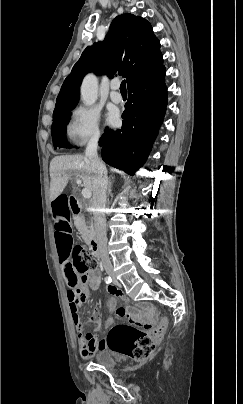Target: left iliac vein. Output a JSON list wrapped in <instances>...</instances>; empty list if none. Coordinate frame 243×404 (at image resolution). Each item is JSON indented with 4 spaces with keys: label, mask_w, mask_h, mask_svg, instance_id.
I'll return each mask as SVG.
<instances>
[{
    "label": "left iliac vein",
    "mask_w": 243,
    "mask_h": 404,
    "mask_svg": "<svg viewBox=\"0 0 243 404\" xmlns=\"http://www.w3.org/2000/svg\"><path fill=\"white\" fill-rule=\"evenodd\" d=\"M113 283H114L115 285H118V281L116 280V278H113Z\"/></svg>",
    "instance_id": "left-iliac-vein-1"
}]
</instances>
